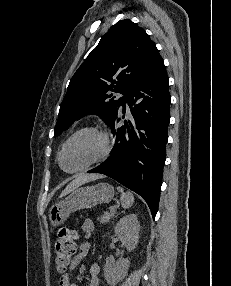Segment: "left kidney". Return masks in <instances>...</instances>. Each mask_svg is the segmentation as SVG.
Wrapping results in <instances>:
<instances>
[{
	"label": "left kidney",
	"instance_id": "5707ae66",
	"mask_svg": "<svg viewBox=\"0 0 231 286\" xmlns=\"http://www.w3.org/2000/svg\"><path fill=\"white\" fill-rule=\"evenodd\" d=\"M140 224L136 214H129L122 217L114 228L115 236L132 251L138 244ZM130 261L128 258L119 259L114 262L106 258L104 266V277L108 284L115 286L128 272Z\"/></svg>",
	"mask_w": 231,
	"mask_h": 286
}]
</instances>
